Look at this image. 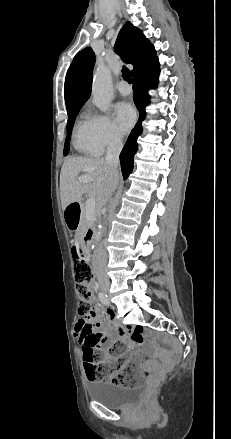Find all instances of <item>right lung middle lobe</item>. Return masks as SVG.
<instances>
[{
    "mask_svg": "<svg viewBox=\"0 0 231 439\" xmlns=\"http://www.w3.org/2000/svg\"><path fill=\"white\" fill-rule=\"evenodd\" d=\"M82 106L80 107H76L70 110H67L68 113V123H67V132H68V136L67 139L65 141V145H64V156H66L68 154L69 148H70V135H71V131L73 128V124L75 121V118L80 110Z\"/></svg>",
    "mask_w": 231,
    "mask_h": 439,
    "instance_id": "obj_1",
    "label": "right lung middle lobe"
}]
</instances>
